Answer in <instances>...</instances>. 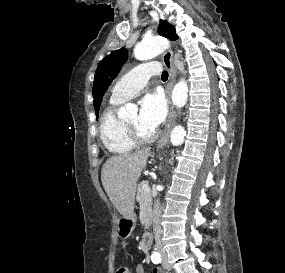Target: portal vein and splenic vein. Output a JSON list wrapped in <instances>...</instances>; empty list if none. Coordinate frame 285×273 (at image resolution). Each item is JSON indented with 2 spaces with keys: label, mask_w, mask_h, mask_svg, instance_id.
<instances>
[{
  "label": "portal vein and splenic vein",
  "mask_w": 285,
  "mask_h": 273,
  "mask_svg": "<svg viewBox=\"0 0 285 273\" xmlns=\"http://www.w3.org/2000/svg\"><path fill=\"white\" fill-rule=\"evenodd\" d=\"M143 190L146 191V192H149L150 191V187L147 183H144L143 186H142Z\"/></svg>",
  "instance_id": "portal-vein-and-splenic-vein-1"
}]
</instances>
